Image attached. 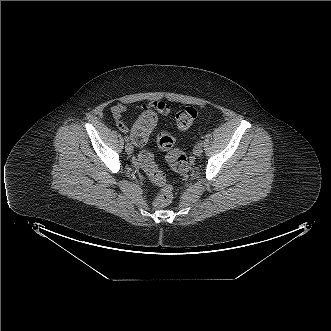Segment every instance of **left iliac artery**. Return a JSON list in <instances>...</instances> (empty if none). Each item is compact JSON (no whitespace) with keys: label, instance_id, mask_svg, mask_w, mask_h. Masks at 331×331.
<instances>
[{"label":"left iliac artery","instance_id":"obj_1","mask_svg":"<svg viewBox=\"0 0 331 331\" xmlns=\"http://www.w3.org/2000/svg\"><path fill=\"white\" fill-rule=\"evenodd\" d=\"M199 145L203 146V141H200V142H199Z\"/></svg>","mask_w":331,"mask_h":331}]
</instances>
